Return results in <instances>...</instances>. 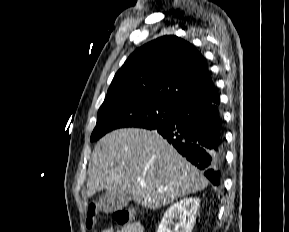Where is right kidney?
Instances as JSON below:
<instances>
[{"label":"right kidney","mask_w":289,"mask_h":232,"mask_svg":"<svg viewBox=\"0 0 289 232\" xmlns=\"http://www.w3.org/2000/svg\"><path fill=\"white\" fill-rule=\"evenodd\" d=\"M200 200L184 198L171 205L164 213L157 232H192ZM174 220L178 222L174 223Z\"/></svg>","instance_id":"right-kidney-1"}]
</instances>
